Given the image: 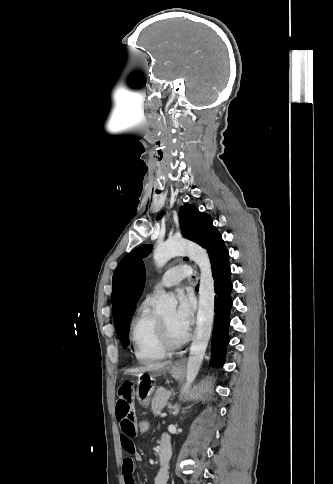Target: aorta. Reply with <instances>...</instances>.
Here are the masks:
<instances>
[{"instance_id":"aorta-1","label":"aorta","mask_w":333,"mask_h":484,"mask_svg":"<svg viewBox=\"0 0 333 484\" xmlns=\"http://www.w3.org/2000/svg\"><path fill=\"white\" fill-rule=\"evenodd\" d=\"M181 254L188 255L200 268L196 336L190 346L187 361L186 384L183 389L186 392L199 372L212 333L215 290L210 259L207 251L200 245L180 239H169L155 247L153 258L157 267L161 268L171 258ZM176 307L177 300L174 296L160 294L156 305L158 313H171Z\"/></svg>"}]
</instances>
